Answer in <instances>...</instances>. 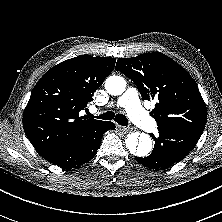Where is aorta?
<instances>
[{"label":"aorta","mask_w":222,"mask_h":222,"mask_svg":"<svg viewBox=\"0 0 222 222\" xmlns=\"http://www.w3.org/2000/svg\"><path fill=\"white\" fill-rule=\"evenodd\" d=\"M105 88L111 95H121L126 89V81L120 76H110L106 79ZM125 144L129 152L138 157H146L152 150L151 138L144 133L128 135Z\"/></svg>","instance_id":"762f6f07"}]
</instances>
